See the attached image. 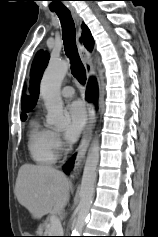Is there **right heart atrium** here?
<instances>
[{"label":"right heart atrium","mask_w":158,"mask_h":237,"mask_svg":"<svg viewBox=\"0 0 158 237\" xmlns=\"http://www.w3.org/2000/svg\"><path fill=\"white\" fill-rule=\"evenodd\" d=\"M52 138L55 150L60 151L63 147V142L60 135L56 132H53Z\"/></svg>","instance_id":"obj_1"}]
</instances>
